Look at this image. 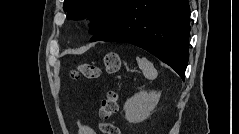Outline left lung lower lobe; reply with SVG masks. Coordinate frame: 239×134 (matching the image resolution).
<instances>
[{"instance_id":"left-lung-lower-lobe-1","label":"left lung lower lobe","mask_w":239,"mask_h":134,"mask_svg":"<svg viewBox=\"0 0 239 134\" xmlns=\"http://www.w3.org/2000/svg\"><path fill=\"white\" fill-rule=\"evenodd\" d=\"M188 0H126L113 22L90 41L126 42L171 66L184 80L189 59Z\"/></svg>"}]
</instances>
